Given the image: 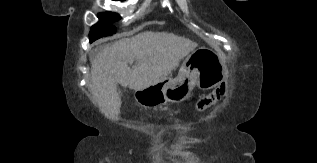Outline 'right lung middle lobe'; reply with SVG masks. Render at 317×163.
I'll return each instance as SVG.
<instances>
[{"label": "right lung middle lobe", "instance_id": "dd1d6c3e", "mask_svg": "<svg viewBox=\"0 0 317 163\" xmlns=\"http://www.w3.org/2000/svg\"><path fill=\"white\" fill-rule=\"evenodd\" d=\"M98 18L99 22L92 26L89 34L90 43L100 37L114 34L116 28L112 25V22L119 20L120 16L116 13L106 12L100 13Z\"/></svg>", "mask_w": 317, "mask_h": 163}]
</instances>
